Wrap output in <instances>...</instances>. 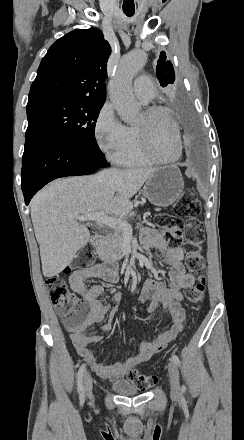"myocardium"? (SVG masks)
Masks as SVG:
<instances>
[{"label":"myocardium","mask_w":244,"mask_h":440,"mask_svg":"<svg viewBox=\"0 0 244 440\" xmlns=\"http://www.w3.org/2000/svg\"><path fill=\"white\" fill-rule=\"evenodd\" d=\"M144 115L146 117V121L143 125L138 126L135 125V128L138 129L139 131H141L140 136H141V146L145 147L146 144V140L148 137V124H149V120L150 118H152L154 115L158 114V113H162L163 115H166L165 117L167 118L165 121L167 123H169V127H172L175 136H176V143H175V148H174V154L171 158H163L162 155L160 153L154 152L151 146L147 147L148 150V154H152L153 158L161 165H173L174 163H176L180 157V151H181V139H180V133L177 130L175 123L173 122L172 119V115L170 114L171 112L169 110H164L163 107L161 106H151L148 107L144 110Z\"/></svg>","instance_id":"myocardium-1"}]
</instances>
